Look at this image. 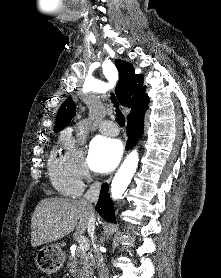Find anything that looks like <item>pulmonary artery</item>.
<instances>
[{
  "mask_svg": "<svg viewBox=\"0 0 221 278\" xmlns=\"http://www.w3.org/2000/svg\"><path fill=\"white\" fill-rule=\"evenodd\" d=\"M100 130L102 133L106 135H117L119 133L118 127L112 121H105L100 126Z\"/></svg>",
  "mask_w": 221,
  "mask_h": 278,
  "instance_id": "e3ab8cb5",
  "label": "pulmonary artery"
}]
</instances>
